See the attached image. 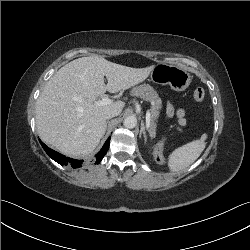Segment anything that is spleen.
I'll list each match as a JSON object with an SVG mask.
<instances>
[{"label": "spleen", "instance_id": "spleen-1", "mask_svg": "<svg viewBox=\"0 0 250 250\" xmlns=\"http://www.w3.org/2000/svg\"><path fill=\"white\" fill-rule=\"evenodd\" d=\"M204 140H193L176 148L169 156L168 166L172 172L181 171L194 163L205 149Z\"/></svg>", "mask_w": 250, "mask_h": 250}]
</instances>
